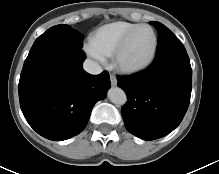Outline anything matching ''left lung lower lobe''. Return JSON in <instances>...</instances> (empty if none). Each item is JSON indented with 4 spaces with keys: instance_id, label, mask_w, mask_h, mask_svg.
Returning <instances> with one entry per match:
<instances>
[{
    "instance_id": "obj_1",
    "label": "left lung lower lobe",
    "mask_w": 219,
    "mask_h": 174,
    "mask_svg": "<svg viewBox=\"0 0 219 174\" xmlns=\"http://www.w3.org/2000/svg\"><path fill=\"white\" fill-rule=\"evenodd\" d=\"M128 97L121 114L126 129L143 140H155L173 131L190 102L192 69L186 51L155 57L145 71L117 77Z\"/></svg>"
}]
</instances>
